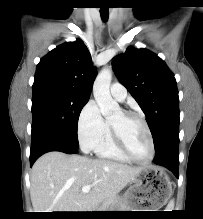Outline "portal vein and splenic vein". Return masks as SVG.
I'll return each instance as SVG.
<instances>
[{"label": "portal vein and splenic vein", "instance_id": "obj_1", "mask_svg": "<svg viewBox=\"0 0 203 219\" xmlns=\"http://www.w3.org/2000/svg\"><path fill=\"white\" fill-rule=\"evenodd\" d=\"M91 187H92V185H84L82 187V192L83 193H88L90 191Z\"/></svg>", "mask_w": 203, "mask_h": 219}]
</instances>
